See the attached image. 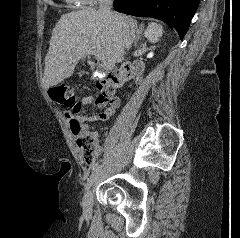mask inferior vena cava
Listing matches in <instances>:
<instances>
[{"label":"inferior vena cava","mask_w":240,"mask_h":238,"mask_svg":"<svg viewBox=\"0 0 240 238\" xmlns=\"http://www.w3.org/2000/svg\"><path fill=\"white\" fill-rule=\"evenodd\" d=\"M113 0H99V12L109 18L117 16L111 11ZM135 40V29H131L126 35V49H130Z\"/></svg>","instance_id":"inferior-vena-cava-1"}]
</instances>
